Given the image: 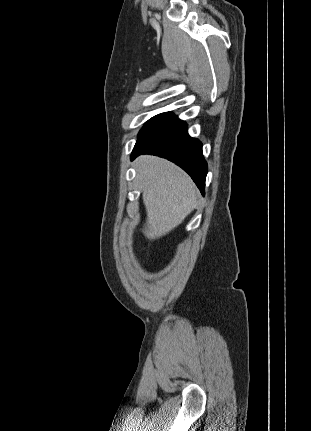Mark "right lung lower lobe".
<instances>
[{
	"label": "right lung lower lobe",
	"instance_id": "obj_1",
	"mask_svg": "<svg viewBox=\"0 0 311 431\" xmlns=\"http://www.w3.org/2000/svg\"><path fill=\"white\" fill-rule=\"evenodd\" d=\"M141 154L166 158L184 169L204 195L207 163L202 143L191 138L187 124L172 113H163L140 133L131 160Z\"/></svg>",
	"mask_w": 311,
	"mask_h": 431
}]
</instances>
